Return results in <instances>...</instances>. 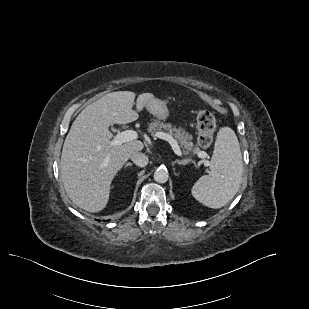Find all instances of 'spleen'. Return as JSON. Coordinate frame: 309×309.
<instances>
[{
    "label": "spleen",
    "mask_w": 309,
    "mask_h": 309,
    "mask_svg": "<svg viewBox=\"0 0 309 309\" xmlns=\"http://www.w3.org/2000/svg\"><path fill=\"white\" fill-rule=\"evenodd\" d=\"M243 174L240 145L235 132L222 127L217 134L210 172L192 187L193 197L203 205L219 209L238 192Z\"/></svg>",
    "instance_id": "obj_1"
}]
</instances>
